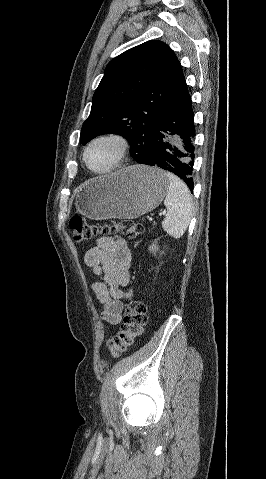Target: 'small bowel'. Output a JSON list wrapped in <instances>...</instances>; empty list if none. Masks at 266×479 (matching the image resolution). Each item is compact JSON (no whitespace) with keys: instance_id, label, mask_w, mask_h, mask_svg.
Returning a JSON list of instances; mask_svg holds the SVG:
<instances>
[{"instance_id":"c3829d8e","label":"small bowel","mask_w":266,"mask_h":479,"mask_svg":"<svg viewBox=\"0 0 266 479\" xmlns=\"http://www.w3.org/2000/svg\"><path fill=\"white\" fill-rule=\"evenodd\" d=\"M85 264L94 275L102 278L92 284V290L103 305L101 319L110 325L122 321L123 300L131 297L124 291L130 280L132 255L124 239L102 236L95 247L87 250Z\"/></svg>"}]
</instances>
